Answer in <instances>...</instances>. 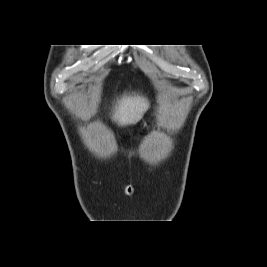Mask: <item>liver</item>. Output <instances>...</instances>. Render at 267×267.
Here are the masks:
<instances>
[{"instance_id": "liver-1", "label": "liver", "mask_w": 267, "mask_h": 267, "mask_svg": "<svg viewBox=\"0 0 267 267\" xmlns=\"http://www.w3.org/2000/svg\"><path fill=\"white\" fill-rule=\"evenodd\" d=\"M149 101L140 95L124 94L113 108L112 120L120 126L137 123L149 108Z\"/></svg>"}]
</instances>
